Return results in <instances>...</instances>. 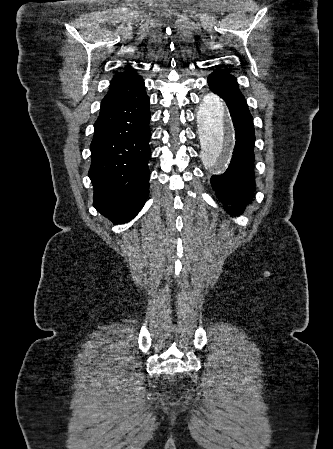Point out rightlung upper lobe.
<instances>
[{
  "instance_id": "obj_1",
  "label": "right lung upper lobe",
  "mask_w": 333,
  "mask_h": 449,
  "mask_svg": "<svg viewBox=\"0 0 333 449\" xmlns=\"http://www.w3.org/2000/svg\"><path fill=\"white\" fill-rule=\"evenodd\" d=\"M143 90L144 81L142 77L133 72L131 67H126L123 73L116 74L112 79L110 90L102 100L100 112L125 102Z\"/></svg>"
}]
</instances>
